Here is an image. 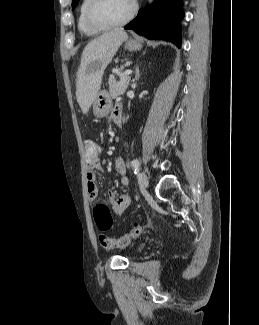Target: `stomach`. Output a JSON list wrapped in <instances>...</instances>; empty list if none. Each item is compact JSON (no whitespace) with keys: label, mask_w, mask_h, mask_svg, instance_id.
I'll return each mask as SVG.
<instances>
[{"label":"stomach","mask_w":259,"mask_h":325,"mask_svg":"<svg viewBox=\"0 0 259 325\" xmlns=\"http://www.w3.org/2000/svg\"><path fill=\"white\" fill-rule=\"evenodd\" d=\"M125 48L129 51H138L142 48V44L135 40H129L125 44ZM112 107V99L108 92L100 91L97 93L93 102V112L97 117H105L109 114Z\"/></svg>","instance_id":"0dacf381"}]
</instances>
